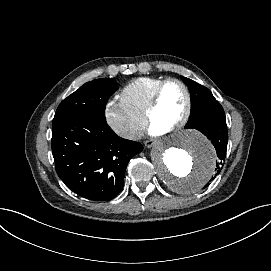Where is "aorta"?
Instances as JSON below:
<instances>
[{
  "label": "aorta",
  "mask_w": 271,
  "mask_h": 271,
  "mask_svg": "<svg viewBox=\"0 0 271 271\" xmlns=\"http://www.w3.org/2000/svg\"><path fill=\"white\" fill-rule=\"evenodd\" d=\"M151 159L159 178L181 195L199 192L216 168L212 144L196 130H182L158 141Z\"/></svg>",
  "instance_id": "aorta-1"
}]
</instances>
